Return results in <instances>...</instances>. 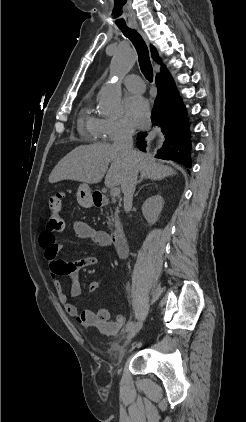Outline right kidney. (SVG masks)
<instances>
[{
	"label": "right kidney",
	"mask_w": 246,
	"mask_h": 422,
	"mask_svg": "<svg viewBox=\"0 0 246 422\" xmlns=\"http://www.w3.org/2000/svg\"><path fill=\"white\" fill-rule=\"evenodd\" d=\"M163 198L160 195L151 196L142 205V213L150 225L156 223L163 208Z\"/></svg>",
	"instance_id": "1"
}]
</instances>
